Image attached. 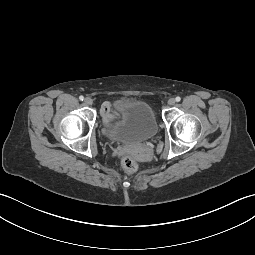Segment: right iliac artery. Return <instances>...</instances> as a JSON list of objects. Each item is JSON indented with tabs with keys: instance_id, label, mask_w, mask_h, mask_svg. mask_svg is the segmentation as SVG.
I'll list each match as a JSON object with an SVG mask.
<instances>
[{
	"instance_id": "obj_1",
	"label": "right iliac artery",
	"mask_w": 255,
	"mask_h": 255,
	"mask_svg": "<svg viewBox=\"0 0 255 255\" xmlns=\"http://www.w3.org/2000/svg\"><path fill=\"white\" fill-rule=\"evenodd\" d=\"M79 99H80L81 101H83V100H84V97H83V96H80Z\"/></svg>"
}]
</instances>
